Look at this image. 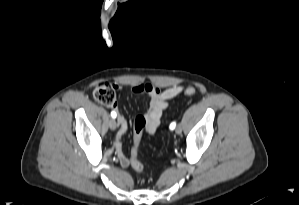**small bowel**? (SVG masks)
I'll use <instances>...</instances> for the list:
<instances>
[{
    "instance_id": "1",
    "label": "small bowel",
    "mask_w": 299,
    "mask_h": 205,
    "mask_svg": "<svg viewBox=\"0 0 299 205\" xmlns=\"http://www.w3.org/2000/svg\"><path fill=\"white\" fill-rule=\"evenodd\" d=\"M116 88H120L116 85ZM184 86L174 85L164 90L152 84H137L132 87L134 93H146L149 98L148 109L144 115L146 119V126L144 130L148 134H155L161 121L163 112L169 106V103L182 91ZM115 112V111H114ZM128 129V123L122 116L119 117V128L115 137V149L122 167L130 166V159L124 154L122 146V138Z\"/></svg>"
}]
</instances>
